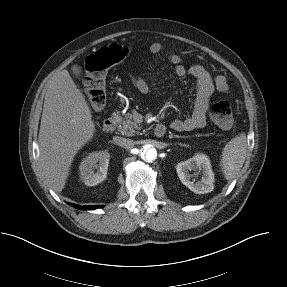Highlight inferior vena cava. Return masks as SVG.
<instances>
[{
	"instance_id": "inferior-vena-cava-1",
	"label": "inferior vena cava",
	"mask_w": 287,
	"mask_h": 287,
	"mask_svg": "<svg viewBox=\"0 0 287 287\" xmlns=\"http://www.w3.org/2000/svg\"><path fill=\"white\" fill-rule=\"evenodd\" d=\"M114 142L115 144L125 149H131L134 146L133 140L126 139V138L119 137V136L114 137Z\"/></svg>"
}]
</instances>
